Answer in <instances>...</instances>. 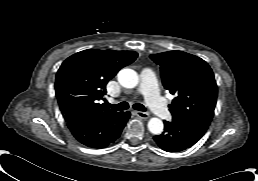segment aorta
<instances>
[{
  "mask_svg": "<svg viewBox=\"0 0 258 181\" xmlns=\"http://www.w3.org/2000/svg\"><path fill=\"white\" fill-rule=\"evenodd\" d=\"M118 81L125 88H134L139 83V77L136 71L124 68L118 73ZM163 127V122L159 118H151L148 122V129L152 134H161Z\"/></svg>",
  "mask_w": 258,
  "mask_h": 181,
  "instance_id": "obj_1",
  "label": "aorta"
}]
</instances>
